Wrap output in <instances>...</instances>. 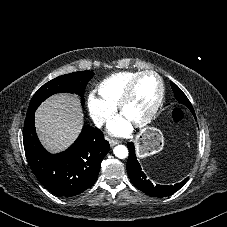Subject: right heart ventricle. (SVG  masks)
Segmentation results:
<instances>
[{
	"label": "right heart ventricle",
	"mask_w": 227,
	"mask_h": 227,
	"mask_svg": "<svg viewBox=\"0 0 227 227\" xmlns=\"http://www.w3.org/2000/svg\"><path fill=\"white\" fill-rule=\"evenodd\" d=\"M137 71H122L105 78L95 89L97 97L106 104L114 107L127 88Z\"/></svg>",
	"instance_id": "right-heart-ventricle-1"
}]
</instances>
